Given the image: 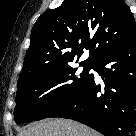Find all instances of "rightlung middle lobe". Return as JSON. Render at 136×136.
Returning a JSON list of instances; mask_svg holds the SVG:
<instances>
[{
    "label": "right lung middle lobe",
    "instance_id": "right-lung-middle-lobe-1",
    "mask_svg": "<svg viewBox=\"0 0 136 136\" xmlns=\"http://www.w3.org/2000/svg\"><path fill=\"white\" fill-rule=\"evenodd\" d=\"M83 71L70 64L29 74L18 81L14 120L17 124L47 118L73 99L91 80L93 63L81 62Z\"/></svg>",
    "mask_w": 136,
    "mask_h": 136
}]
</instances>
